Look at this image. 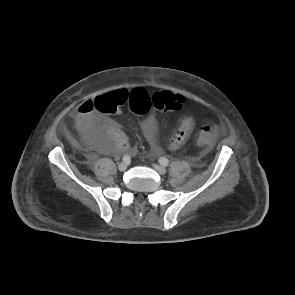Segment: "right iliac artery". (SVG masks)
<instances>
[{"instance_id": "82829eb1", "label": "right iliac artery", "mask_w": 295, "mask_h": 295, "mask_svg": "<svg viewBox=\"0 0 295 295\" xmlns=\"http://www.w3.org/2000/svg\"><path fill=\"white\" fill-rule=\"evenodd\" d=\"M122 160L125 163H129L131 159H130V157L128 155H125V156H123Z\"/></svg>"}]
</instances>
